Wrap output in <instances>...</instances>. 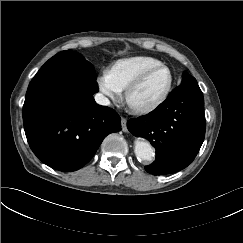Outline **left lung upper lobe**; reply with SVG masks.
I'll return each mask as SVG.
<instances>
[{"label":"left lung upper lobe","instance_id":"left-lung-upper-lobe-1","mask_svg":"<svg viewBox=\"0 0 243 243\" xmlns=\"http://www.w3.org/2000/svg\"><path fill=\"white\" fill-rule=\"evenodd\" d=\"M185 83H197V81L194 77H192L188 73H184L181 84H185Z\"/></svg>","mask_w":243,"mask_h":243}]
</instances>
